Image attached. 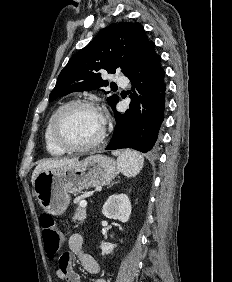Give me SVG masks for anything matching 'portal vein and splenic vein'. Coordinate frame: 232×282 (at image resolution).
<instances>
[{
	"mask_svg": "<svg viewBox=\"0 0 232 282\" xmlns=\"http://www.w3.org/2000/svg\"><path fill=\"white\" fill-rule=\"evenodd\" d=\"M79 205H80L81 208H85V207H87V201L82 200V201H80Z\"/></svg>",
	"mask_w": 232,
	"mask_h": 282,
	"instance_id": "portal-vein-and-splenic-vein-1",
	"label": "portal vein and splenic vein"
}]
</instances>
